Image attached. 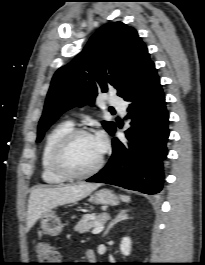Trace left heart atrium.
I'll list each match as a JSON object with an SVG mask.
<instances>
[{"label": "left heart atrium", "mask_w": 205, "mask_h": 265, "mask_svg": "<svg viewBox=\"0 0 205 265\" xmlns=\"http://www.w3.org/2000/svg\"><path fill=\"white\" fill-rule=\"evenodd\" d=\"M95 141L97 143V146L99 148V151L103 153L106 149V139L103 134L99 133L95 137Z\"/></svg>", "instance_id": "1"}]
</instances>
